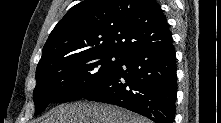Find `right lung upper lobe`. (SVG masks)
<instances>
[{"label": "right lung upper lobe", "instance_id": "obj_1", "mask_svg": "<svg viewBox=\"0 0 221 123\" xmlns=\"http://www.w3.org/2000/svg\"><path fill=\"white\" fill-rule=\"evenodd\" d=\"M169 37L167 20L155 0H85L55 26L38 66L93 50L127 54Z\"/></svg>", "mask_w": 221, "mask_h": 123}]
</instances>
